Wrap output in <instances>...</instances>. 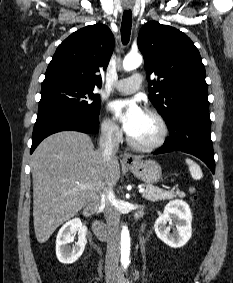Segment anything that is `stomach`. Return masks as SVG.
I'll use <instances>...</instances> for the list:
<instances>
[{"instance_id": "obj_1", "label": "stomach", "mask_w": 233, "mask_h": 283, "mask_svg": "<svg viewBox=\"0 0 233 283\" xmlns=\"http://www.w3.org/2000/svg\"><path fill=\"white\" fill-rule=\"evenodd\" d=\"M127 167L138 179L147 184H155L162 178V169L154 160H137Z\"/></svg>"}]
</instances>
